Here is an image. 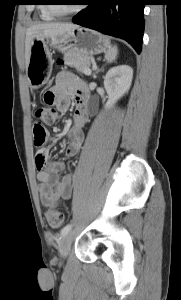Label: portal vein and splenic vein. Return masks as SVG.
<instances>
[{"mask_svg":"<svg viewBox=\"0 0 181 300\" xmlns=\"http://www.w3.org/2000/svg\"><path fill=\"white\" fill-rule=\"evenodd\" d=\"M84 74H85V75H91V70H90V68H86V69L84 70Z\"/></svg>","mask_w":181,"mask_h":300,"instance_id":"portal-vein-and-splenic-vein-1","label":"portal vein and splenic vein"}]
</instances>
